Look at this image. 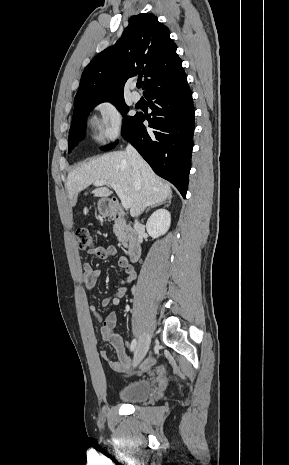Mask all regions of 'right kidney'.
I'll return each mask as SVG.
<instances>
[{
  "instance_id": "ca27d5eb",
  "label": "right kidney",
  "mask_w": 289,
  "mask_h": 465,
  "mask_svg": "<svg viewBox=\"0 0 289 465\" xmlns=\"http://www.w3.org/2000/svg\"><path fill=\"white\" fill-rule=\"evenodd\" d=\"M170 224V212L166 209H158L147 220L146 229L151 237L157 238L168 231Z\"/></svg>"
}]
</instances>
